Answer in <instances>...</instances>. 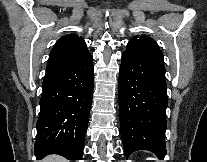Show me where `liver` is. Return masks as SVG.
I'll use <instances>...</instances> for the list:
<instances>
[{
  "label": "liver",
  "instance_id": "liver-1",
  "mask_svg": "<svg viewBox=\"0 0 207 162\" xmlns=\"http://www.w3.org/2000/svg\"><path fill=\"white\" fill-rule=\"evenodd\" d=\"M41 162H69L63 157L59 155H49L45 159H43Z\"/></svg>",
  "mask_w": 207,
  "mask_h": 162
}]
</instances>
